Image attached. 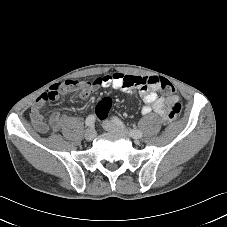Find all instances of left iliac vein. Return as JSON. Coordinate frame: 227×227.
Listing matches in <instances>:
<instances>
[{"label":"left iliac vein","mask_w":227,"mask_h":227,"mask_svg":"<svg viewBox=\"0 0 227 227\" xmlns=\"http://www.w3.org/2000/svg\"><path fill=\"white\" fill-rule=\"evenodd\" d=\"M102 126L107 131L129 136L128 132L124 128H122L113 121L106 120L103 122Z\"/></svg>","instance_id":"left-iliac-vein-1"}]
</instances>
